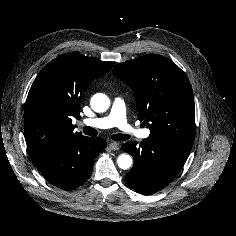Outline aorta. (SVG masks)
Segmentation results:
<instances>
[{"label":"aorta","instance_id":"obj_1","mask_svg":"<svg viewBox=\"0 0 236 236\" xmlns=\"http://www.w3.org/2000/svg\"><path fill=\"white\" fill-rule=\"evenodd\" d=\"M110 100L107 96H103L100 101H91V107L95 112H104L109 108ZM118 166L121 169H129L132 165V158L127 154H121L117 159Z\"/></svg>","mask_w":236,"mask_h":236}]
</instances>
